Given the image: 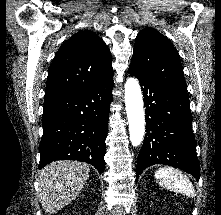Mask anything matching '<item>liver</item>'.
Returning <instances> with one entry per match:
<instances>
[{"instance_id":"obj_1","label":"liver","mask_w":221,"mask_h":215,"mask_svg":"<svg viewBox=\"0 0 221 215\" xmlns=\"http://www.w3.org/2000/svg\"><path fill=\"white\" fill-rule=\"evenodd\" d=\"M90 166L77 161H56L39 177V200L45 212L53 214L72 202L89 177Z\"/></svg>"}]
</instances>
